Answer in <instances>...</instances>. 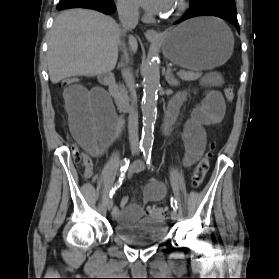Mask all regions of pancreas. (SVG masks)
Here are the masks:
<instances>
[{
  "instance_id": "1",
  "label": "pancreas",
  "mask_w": 279,
  "mask_h": 279,
  "mask_svg": "<svg viewBox=\"0 0 279 279\" xmlns=\"http://www.w3.org/2000/svg\"><path fill=\"white\" fill-rule=\"evenodd\" d=\"M187 73L189 75V77H185L184 74ZM178 76L183 80V81H194L196 79H198V77L200 76L199 73H194V72H185V71H180L178 73ZM119 95L122 97H126V90L125 87L123 85L119 86Z\"/></svg>"
}]
</instances>
